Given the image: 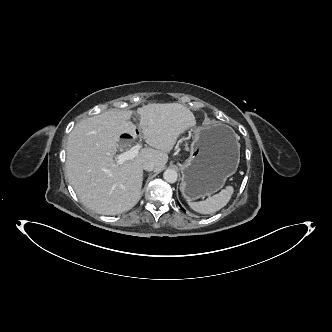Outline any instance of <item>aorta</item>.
I'll use <instances>...</instances> for the list:
<instances>
[{
    "mask_svg": "<svg viewBox=\"0 0 332 332\" xmlns=\"http://www.w3.org/2000/svg\"><path fill=\"white\" fill-rule=\"evenodd\" d=\"M163 178L168 183H175L178 178V173L174 169H167L163 173Z\"/></svg>",
    "mask_w": 332,
    "mask_h": 332,
    "instance_id": "762f6f07",
    "label": "aorta"
}]
</instances>
